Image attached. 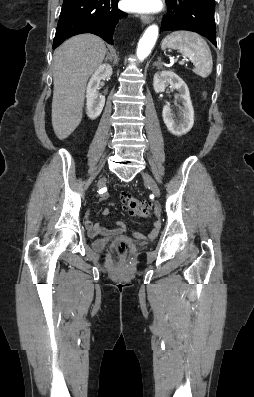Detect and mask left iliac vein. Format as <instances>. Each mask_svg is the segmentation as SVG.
Returning <instances> with one entry per match:
<instances>
[{
	"label": "left iliac vein",
	"mask_w": 254,
	"mask_h": 397,
	"mask_svg": "<svg viewBox=\"0 0 254 397\" xmlns=\"http://www.w3.org/2000/svg\"><path fill=\"white\" fill-rule=\"evenodd\" d=\"M142 177L144 179L145 184L149 187V189H151V191L155 194V196L160 197V189L157 186L154 179L148 173H143Z\"/></svg>",
	"instance_id": "4c4485c4"
}]
</instances>
